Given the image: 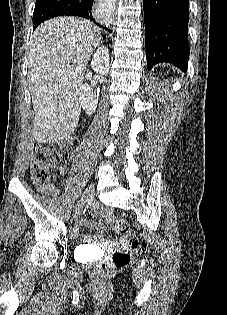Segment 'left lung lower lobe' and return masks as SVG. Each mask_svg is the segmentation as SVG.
Segmentation results:
<instances>
[{"instance_id":"1","label":"left lung lower lobe","mask_w":227,"mask_h":315,"mask_svg":"<svg viewBox=\"0 0 227 315\" xmlns=\"http://www.w3.org/2000/svg\"><path fill=\"white\" fill-rule=\"evenodd\" d=\"M189 0H143L147 66L171 63L187 70Z\"/></svg>"}]
</instances>
